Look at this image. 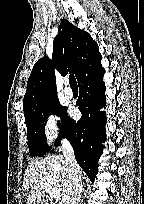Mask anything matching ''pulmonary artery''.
Instances as JSON below:
<instances>
[{
  "mask_svg": "<svg viewBox=\"0 0 144 204\" xmlns=\"http://www.w3.org/2000/svg\"><path fill=\"white\" fill-rule=\"evenodd\" d=\"M63 94L67 99H71L73 97V91L72 89L68 86V83L66 82V87L63 90Z\"/></svg>",
  "mask_w": 144,
  "mask_h": 204,
  "instance_id": "e3ab8cb5",
  "label": "pulmonary artery"
}]
</instances>
